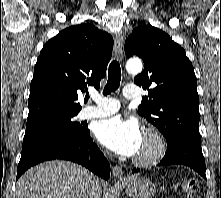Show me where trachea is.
<instances>
[{"mask_svg": "<svg viewBox=\"0 0 221 198\" xmlns=\"http://www.w3.org/2000/svg\"><path fill=\"white\" fill-rule=\"evenodd\" d=\"M121 81V68L118 61L113 60L108 69V81L104 88L103 94L108 95L116 91L120 86Z\"/></svg>", "mask_w": 221, "mask_h": 198, "instance_id": "3493384b", "label": "trachea"}]
</instances>
